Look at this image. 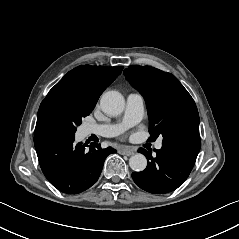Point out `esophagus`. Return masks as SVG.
Masks as SVG:
<instances>
[{
	"label": "esophagus",
	"instance_id": "1",
	"mask_svg": "<svg viewBox=\"0 0 239 239\" xmlns=\"http://www.w3.org/2000/svg\"><path fill=\"white\" fill-rule=\"evenodd\" d=\"M120 153H121L122 155H126V156H131V155L134 154V152L131 151V150H123V151H121Z\"/></svg>",
	"mask_w": 239,
	"mask_h": 239
}]
</instances>
